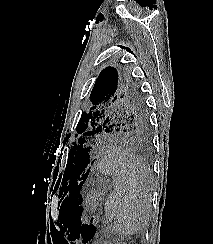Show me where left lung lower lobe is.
<instances>
[{
    "mask_svg": "<svg viewBox=\"0 0 213 244\" xmlns=\"http://www.w3.org/2000/svg\"><path fill=\"white\" fill-rule=\"evenodd\" d=\"M88 173H89V169L86 172H84V174L82 175L81 181H80V183L78 184L77 187L81 188V186L83 185L84 181L87 179Z\"/></svg>",
    "mask_w": 213,
    "mask_h": 244,
    "instance_id": "0a47b994",
    "label": "left lung lower lobe"
}]
</instances>
